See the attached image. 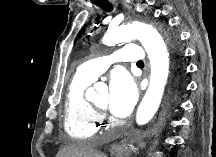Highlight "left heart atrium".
<instances>
[{"mask_svg": "<svg viewBox=\"0 0 216 157\" xmlns=\"http://www.w3.org/2000/svg\"><path fill=\"white\" fill-rule=\"evenodd\" d=\"M138 99V90L134 80L124 71H115L110 79L108 107L118 117L128 116Z\"/></svg>", "mask_w": 216, "mask_h": 157, "instance_id": "39dd6f15", "label": "left heart atrium"}]
</instances>
